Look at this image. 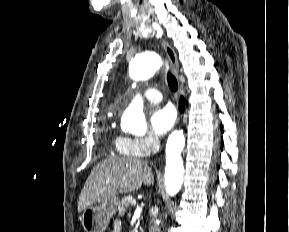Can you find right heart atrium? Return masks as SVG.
<instances>
[{
	"label": "right heart atrium",
	"instance_id": "right-heart-atrium-1",
	"mask_svg": "<svg viewBox=\"0 0 289 232\" xmlns=\"http://www.w3.org/2000/svg\"><path fill=\"white\" fill-rule=\"evenodd\" d=\"M158 139L153 135L143 137H121L118 150L135 157H143L151 154L158 147Z\"/></svg>",
	"mask_w": 289,
	"mask_h": 232
}]
</instances>
